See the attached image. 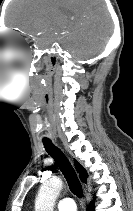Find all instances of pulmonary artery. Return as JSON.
Listing matches in <instances>:
<instances>
[{"instance_id": "1", "label": "pulmonary artery", "mask_w": 133, "mask_h": 211, "mask_svg": "<svg viewBox=\"0 0 133 211\" xmlns=\"http://www.w3.org/2000/svg\"><path fill=\"white\" fill-rule=\"evenodd\" d=\"M58 211H76V205L72 198H63L57 203Z\"/></svg>"}]
</instances>
